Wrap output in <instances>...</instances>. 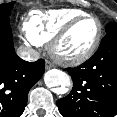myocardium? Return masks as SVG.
<instances>
[{
    "label": "myocardium",
    "mask_w": 117,
    "mask_h": 117,
    "mask_svg": "<svg viewBox=\"0 0 117 117\" xmlns=\"http://www.w3.org/2000/svg\"><path fill=\"white\" fill-rule=\"evenodd\" d=\"M92 19L97 23V34L91 46L83 53L78 55H69L62 51V44L69 34L85 20ZM103 35V26L101 21L93 15H81L72 19L60 30L50 41L49 52L60 63L68 65H78L89 60L97 51Z\"/></svg>",
    "instance_id": "f54148a6"
}]
</instances>
